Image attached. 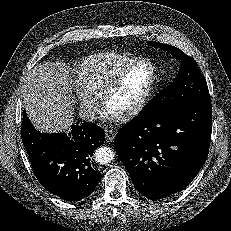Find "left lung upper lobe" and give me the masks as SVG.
I'll list each match as a JSON object with an SVG mask.
<instances>
[{"label": "left lung upper lobe", "instance_id": "5c2ea615", "mask_svg": "<svg viewBox=\"0 0 231 231\" xmlns=\"http://www.w3.org/2000/svg\"><path fill=\"white\" fill-rule=\"evenodd\" d=\"M149 44L169 51L182 64L175 80L153 97L138 116L155 118L189 103L210 101L207 82L193 58L171 45L154 41H149Z\"/></svg>", "mask_w": 231, "mask_h": 231}]
</instances>
